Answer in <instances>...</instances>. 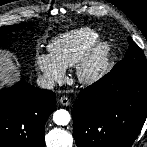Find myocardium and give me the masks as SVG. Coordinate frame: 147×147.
Returning <instances> with one entry per match:
<instances>
[{
    "label": "myocardium",
    "instance_id": "obj_1",
    "mask_svg": "<svg viewBox=\"0 0 147 147\" xmlns=\"http://www.w3.org/2000/svg\"><path fill=\"white\" fill-rule=\"evenodd\" d=\"M112 58V45L104 39L93 42L76 65V76L83 84H92L108 71Z\"/></svg>",
    "mask_w": 147,
    "mask_h": 147
}]
</instances>
